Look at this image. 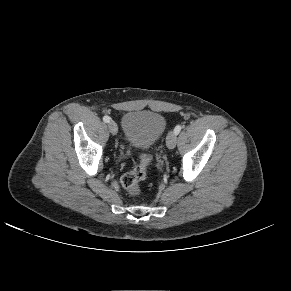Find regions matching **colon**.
Wrapping results in <instances>:
<instances>
[{
	"label": "colon",
	"instance_id": "5ec220e1",
	"mask_svg": "<svg viewBox=\"0 0 291 291\" xmlns=\"http://www.w3.org/2000/svg\"><path fill=\"white\" fill-rule=\"evenodd\" d=\"M152 157L148 153L140 156L139 162L134 168L121 177L122 187L132 196H138L141 193L140 184L146 178L147 168L150 165Z\"/></svg>",
	"mask_w": 291,
	"mask_h": 291
}]
</instances>
